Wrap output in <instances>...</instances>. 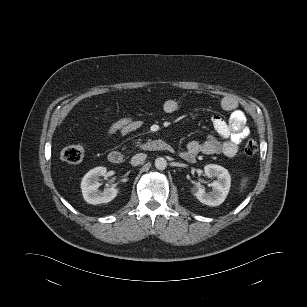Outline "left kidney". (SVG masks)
<instances>
[{"instance_id": "obj_1", "label": "left kidney", "mask_w": 307, "mask_h": 307, "mask_svg": "<svg viewBox=\"0 0 307 307\" xmlns=\"http://www.w3.org/2000/svg\"><path fill=\"white\" fill-rule=\"evenodd\" d=\"M207 177H216L211 183L212 191L207 193L202 187H193L192 194L203 204L218 206L224 202L231 186V177L227 169L216 164H207L204 167Z\"/></svg>"}]
</instances>
